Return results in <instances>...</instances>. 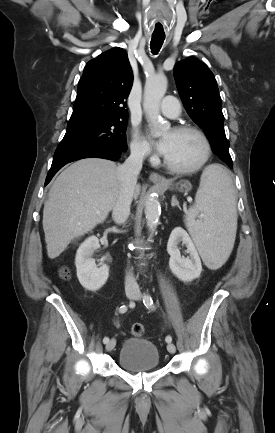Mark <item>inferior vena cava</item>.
Segmentation results:
<instances>
[{"label": "inferior vena cava", "mask_w": 275, "mask_h": 433, "mask_svg": "<svg viewBox=\"0 0 275 433\" xmlns=\"http://www.w3.org/2000/svg\"><path fill=\"white\" fill-rule=\"evenodd\" d=\"M145 152L141 149H132L130 156L118 167L121 179V189L113 206L112 218L117 224H123L130 214V205L133 199L138 175L142 169ZM125 290L138 292V284L131 272L125 277Z\"/></svg>", "instance_id": "1"}]
</instances>
